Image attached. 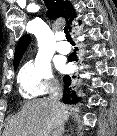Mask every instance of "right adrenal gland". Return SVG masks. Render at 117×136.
<instances>
[{
    "label": "right adrenal gland",
    "instance_id": "right-adrenal-gland-1",
    "mask_svg": "<svg viewBox=\"0 0 117 136\" xmlns=\"http://www.w3.org/2000/svg\"><path fill=\"white\" fill-rule=\"evenodd\" d=\"M62 132H63V129L60 128V129H58V130L56 131V134H55V135L61 136V135H62Z\"/></svg>",
    "mask_w": 117,
    "mask_h": 136
}]
</instances>
